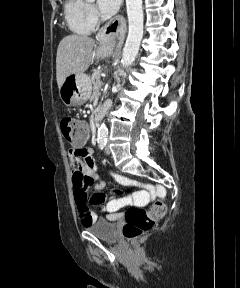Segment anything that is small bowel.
Returning a JSON list of instances; mask_svg holds the SVG:
<instances>
[{"label":"small bowel","instance_id":"obj_1","mask_svg":"<svg viewBox=\"0 0 240 288\" xmlns=\"http://www.w3.org/2000/svg\"><path fill=\"white\" fill-rule=\"evenodd\" d=\"M85 140L72 143V148L68 152L69 160L74 169L72 172V182L74 186V198L78 208L80 221L83 226H88L97 220V215L89 207V204H102L104 195L102 193L105 182L98 175L97 168L93 162L94 151L86 147ZM119 183L129 185L132 182L122 176L111 174ZM92 188V190H91ZM130 197H122L119 190L112 192L109 200L102 206V211L107 214L111 221L121 217L120 209L130 204Z\"/></svg>","mask_w":240,"mask_h":288}]
</instances>
